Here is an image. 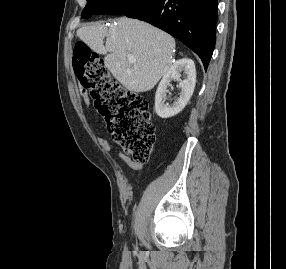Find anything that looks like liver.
<instances>
[{"label":"liver","instance_id":"6515ba94","mask_svg":"<svg viewBox=\"0 0 286 269\" xmlns=\"http://www.w3.org/2000/svg\"><path fill=\"white\" fill-rule=\"evenodd\" d=\"M77 36L105 55V66L131 92L151 90L172 66L174 38L137 19L122 17L109 29L103 23H94L78 29ZM128 55L136 61L130 63Z\"/></svg>","mask_w":286,"mask_h":269}]
</instances>
